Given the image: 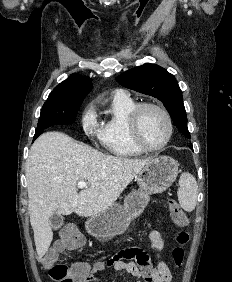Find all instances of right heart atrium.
<instances>
[{
    "label": "right heart atrium",
    "instance_id": "1",
    "mask_svg": "<svg viewBox=\"0 0 232 282\" xmlns=\"http://www.w3.org/2000/svg\"><path fill=\"white\" fill-rule=\"evenodd\" d=\"M82 127L84 132L89 137L101 136V128L98 125L96 115L92 109H88L82 117Z\"/></svg>",
    "mask_w": 232,
    "mask_h": 282
}]
</instances>
